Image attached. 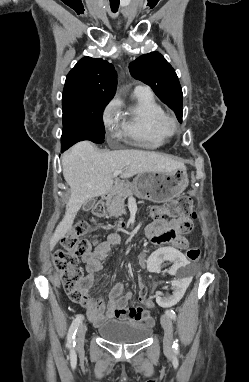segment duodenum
<instances>
[{
  "mask_svg": "<svg viewBox=\"0 0 249 382\" xmlns=\"http://www.w3.org/2000/svg\"><path fill=\"white\" fill-rule=\"evenodd\" d=\"M113 188H109L107 191L104 192L103 198L105 200L109 199L112 196Z\"/></svg>",
  "mask_w": 249,
  "mask_h": 382,
  "instance_id": "obj_1",
  "label": "duodenum"
}]
</instances>
